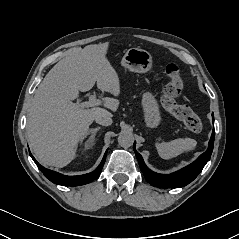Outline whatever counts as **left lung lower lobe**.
<instances>
[{"label": "left lung lower lobe", "instance_id": "left-lung-lower-lobe-1", "mask_svg": "<svg viewBox=\"0 0 239 239\" xmlns=\"http://www.w3.org/2000/svg\"><path fill=\"white\" fill-rule=\"evenodd\" d=\"M213 123H214V115L212 114ZM215 138V130L213 128L212 135L209 141L208 149L201 154L197 160H195L190 165L185 168L171 173V174H158L145 165L142 156L136 151L135 143H134V152L136 154L139 166L141 171L143 172L145 179L152 186L160 187V188H178L183 187L192 182L197 175L202 171L203 167L209 161L214 145Z\"/></svg>", "mask_w": 239, "mask_h": 239}]
</instances>
